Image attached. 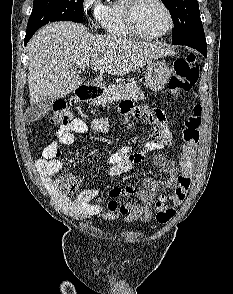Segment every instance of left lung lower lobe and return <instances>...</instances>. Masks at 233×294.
I'll return each mask as SVG.
<instances>
[{"label": "left lung lower lobe", "mask_w": 233, "mask_h": 294, "mask_svg": "<svg viewBox=\"0 0 233 294\" xmlns=\"http://www.w3.org/2000/svg\"><path fill=\"white\" fill-rule=\"evenodd\" d=\"M186 46L192 47L200 51L205 57H207V44L206 42L203 43H186Z\"/></svg>", "instance_id": "1"}]
</instances>
